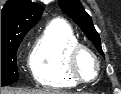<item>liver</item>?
I'll return each instance as SVG.
<instances>
[{
  "instance_id": "6515ba94",
  "label": "liver",
  "mask_w": 121,
  "mask_h": 94,
  "mask_svg": "<svg viewBox=\"0 0 121 94\" xmlns=\"http://www.w3.org/2000/svg\"><path fill=\"white\" fill-rule=\"evenodd\" d=\"M1 94H67L59 91L53 90H21L13 88H1Z\"/></svg>"
}]
</instances>
